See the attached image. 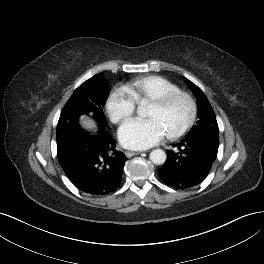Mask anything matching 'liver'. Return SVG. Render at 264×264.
<instances>
[{"mask_svg":"<svg viewBox=\"0 0 264 264\" xmlns=\"http://www.w3.org/2000/svg\"><path fill=\"white\" fill-rule=\"evenodd\" d=\"M82 123L85 127L87 128H94L95 127V122L90 119H86L85 116H82Z\"/></svg>","mask_w":264,"mask_h":264,"instance_id":"1","label":"liver"}]
</instances>
